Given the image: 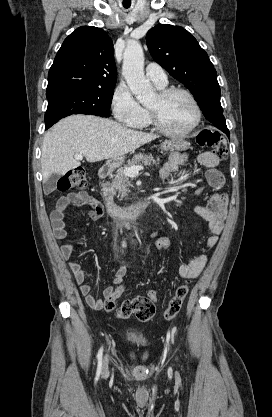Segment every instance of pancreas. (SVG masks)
<instances>
[{
    "label": "pancreas",
    "instance_id": "pancreas-1",
    "mask_svg": "<svg viewBox=\"0 0 272 417\" xmlns=\"http://www.w3.org/2000/svg\"><path fill=\"white\" fill-rule=\"evenodd\" d=\"M139 163H142L145 166H150L151 164L157 166L159 164V159H154L151 154L146 155L139 153L135 155L134 158L129 161L123 168L117 170L111 184H109V188L114 192L117 191L121 199L126 196L127 192L129 191V187L132 186L129 177L123 173V170L125 168L135 166Z\"/></svg>",
    "mask_w": 272,
    "mask_h": 417
}]
</instances>
